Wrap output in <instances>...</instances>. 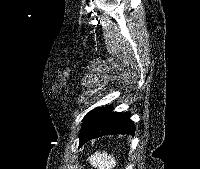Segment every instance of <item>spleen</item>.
I'll list each match as a JSON object with an SVG mask.
<instances>
[{"mask_svg": "<svg viewBox=\"0 0 200 169\" xmlns=\"http://www.w3.org/2000/svg\"><path fill=\"white\" fill-rule=\"evenodd\" d=\"M89 162L92 166L98 169H112L116 166V160L113 156L106 152H95L89 157Z\"/></svg>", "mask_w": 200, "mask_h": 169, "instance_id": "spleen-1", "label": "spleen"}]
</instances>
